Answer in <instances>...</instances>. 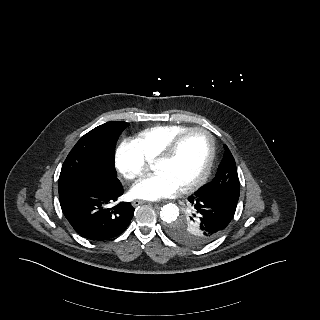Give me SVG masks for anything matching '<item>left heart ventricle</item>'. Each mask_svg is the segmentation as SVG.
I'll use <instances>...</instances> for the list:
<instances>
[{"label": "left heart ventricle", "mask_w": 320, "mask_h": 320, "mask_svg": "<svg viewBox=\"0 0 320 320\" xmlns=\"http://www.w3.org/2000/svg\"><path fill=\"white\" fill-rule=\"evenodd\" d=\"M208 156V138L199 132L192 133L181 141L170 160L154 163L153 170L166 174L181 188L200 176Z\"/></svg>", "instance_id": "left-heart-ventricle-1"}]
</instances>
